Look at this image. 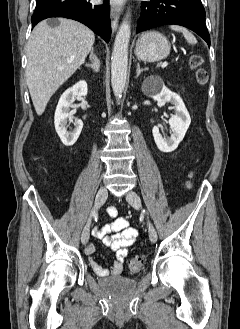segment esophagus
Listing matches in <instances>:
<instances>
[{
  "instance_id": "1",
  "label": "esophagus",
  "mask_w": 240,
  "mask_h": 329,
  "mask_svg": "<svg viewBox=\"0 0 240 329\" xmlns=\"http://www.w3.org/2000/svg\"><path fill=\"white\" fill-rule=\"evenodd\" d=\"M110 17H111L112 31L115 32L118 28L120 15L118 9L114 5L111 6Z\"/></svg>"
}]
</instances>
